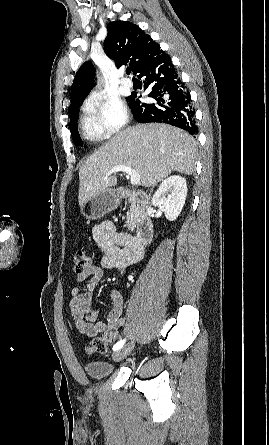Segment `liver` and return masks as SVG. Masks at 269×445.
<instances>
[{"label":"liver","instance_id":"obj_1","mask_svg":"<svg viewBox=\"0 0 269 445\" xmlns=\"http://www.w3.org/2000/svg\"><path fill=\"white\" fill-rule=\"evenodd\" d=\"M196 144L185 131L166 124H140L123 130L94 152L79 169V205L117 185L106 173L118 165L139 172L142 186H155L172 172L191 175Z\"/></svg>","mask_w":269,"mask_h":445}]
</instances>
